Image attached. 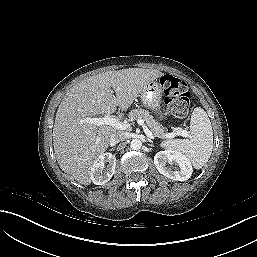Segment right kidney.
Wrapping results in <instances>:
<instances>
[{
	"instance_id": "obj_1",
	"label": "right kidney",
	"mask_w": 257,
	"mask_h": 257,
	"mask_svg": "<svg viewBox=\"0 0 257 257\" xmlns=\"http://www.w3.org/2000/svg\"><path fill=\"white\" fill-rule=\"evenodd\" d=\"M116 157L112 153H104L98 156L90 170V177L94 184L107 183L115 173Z\"/></svg>"
}]
</instances>
